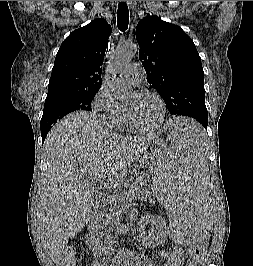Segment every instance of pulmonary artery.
I'll return each mask as SVG.
<instances>
[{"instance_id": "pulmonary-artery-1", "label": "pulmonary artery", "mask_w": 253, "mask_h": 266, "mask_svg": "<svg viewBox=\"0 0 253 266\" xmlns=\"http://www.w3.org/2000/svg\"><path fill=\"white\" fill-rule=\"evenodd\" d=\"M124 74L131 84L139 85L143 78L142 66L133 62L126 67Z\"/></svg>"}]
</instances>
